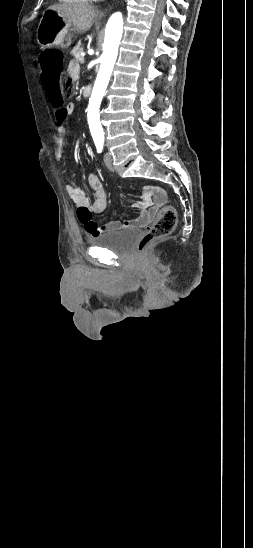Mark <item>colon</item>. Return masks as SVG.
<instances>
[{"mask_svg": "<svg viewBox=\"0 0 253 548\" xmlns=\"http://www.w3.org/2000/svg\"><path fill=\"white\" fill-rule=\"evenodd\" d=\"M39 63L43 68L40 81L43 83V90L46 91L47 98L51 99L53 105H68L74 87L71 76L62 71V55L56 51H45L40 55ZM59 123L66 125L68 118L61 116ZM176 223L177 216L173 207L163 206L153 224L140 239L137 251L142 253L158 239L171 234L176 227Z\"/></svg>", "mask_w": 253, "mask_h": 548, "instance_id": "obj_1", "label": "colon"}]
</instances>
